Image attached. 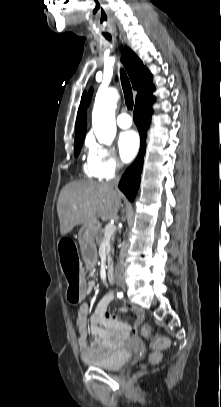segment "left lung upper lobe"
Here are the masks:
<instances>
[{"instance_id": "1", "label": "left lung upper lobe", "mask_w": 221, "mask_h": 407, "mask_svg": "<svg viewBox=\"0 0 221 407\" xmlns=\"http://www.w3.org/2000/svg\"><path fill=\"white\" fill-rule=\"evenodd\" d=\"M91 95H92V89L90 90L89 102H90V99H91Z\"/></svg>"}]
</instances>
